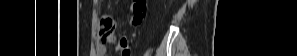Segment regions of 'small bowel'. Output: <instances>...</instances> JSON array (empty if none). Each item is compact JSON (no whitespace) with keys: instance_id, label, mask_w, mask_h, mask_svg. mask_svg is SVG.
I'll use <instances>...</instances> for the list:
<instances>
[{"instance_id":"1","label":"small bowel","mask_w":297,"mask_h":56,"mask_svg":"<svg viewBox=\"0 0 297 56\" xmlns=\"http://www.w3.org/2000/svg\"><path fill=\"white\" fill-rule=\"evenodd\" d=\"M130 48V36H120L119 44L116 47L117 51H120L123 56H129L130 52L127 50ZM96 53L98 56L106 55V48L103 45H98L96 48Z\"/></svg>"}]
</instances>
